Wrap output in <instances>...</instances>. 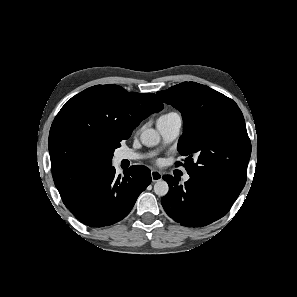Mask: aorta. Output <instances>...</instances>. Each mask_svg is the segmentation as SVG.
I'll return each instance as SVG.
<instances>
[{"label":"aorta","mask_w":297,"mask_h":297,"mask_svg":"<svg viewBox=\"0 0 297 297\" xmlns=\"http://www.w3.org/2000/svg\"><path fill=\"white\" fill-rule=\"evenodd\" d=\"M140 139H141L143 145H145L147 147L156 146L160 142L159 133L152 128L145 129L141 133ZM168 190H169V185L164 180H158L154 184V192L158 196H165L168 193Z\"/></svg>","instance_id":"762f6f07"}]
</instances>
